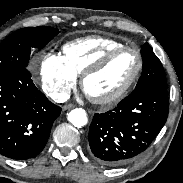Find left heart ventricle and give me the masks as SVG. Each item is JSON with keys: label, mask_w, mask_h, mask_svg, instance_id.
I'll list each match as a JSON object with an SVG mask.
<instances>
[{"label": "left heart ventricle", "mask_w": 183, "mask_h": 183, "mask_svg": "<svg viewBox=\"0 0 183 183\" xmlns=\"http://www.w3.org/2000/svg\"><path fill=\"white\" fill-rule=\"evenodd\" d=\"M137 64L138 60L134 52L118 53L103 70L86 80V93L98 98L115 94L132 78Z\"/></svg>", "instance_id": "1"}]
</instances>
